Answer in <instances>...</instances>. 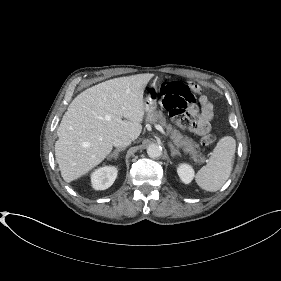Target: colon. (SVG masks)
I'll return each instance as SVG.
<instances>
[{
    "label": "colon",
    "mask_w": 281,
    "mask_h": 281,
    "mask_svg": "<svg viewBox=\"0 0 281 281\" xmlns=\"http://www.w3.org/2000/svg\"><path fill=\"white\" fill-rule=\"evenodd\" d=\"M199 92L200 87L195 82L173 81L164 83L160 87L163 107L184 127H190L193 124L192 117L186 113V110L190 104L196 101ZM215 142L216 136L211 133L205 134L201 139L204 146H211Z\"/></svg>",
    "instance_id": "colon-1"
}]
</instances>
